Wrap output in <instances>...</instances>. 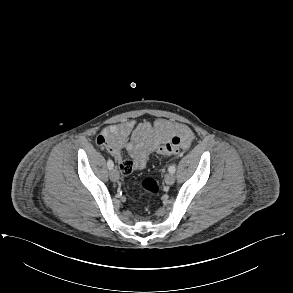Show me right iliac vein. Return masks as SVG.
<instances>
[{"label":"right iliac vein","mask_w":293,"mask_h":293,"mask_svg":"<svg viewBox=\"0 0 293 293\" xmlns=\"http://www.w3.org/2000/svg\"><path fill=\"white\" fill-rule=\"evenodd\" d=\"M109 176L110 179L114 182L119 180V172L116 169H111Z\"/></svg>","instance_id":"obj_1"}]
</instances>
